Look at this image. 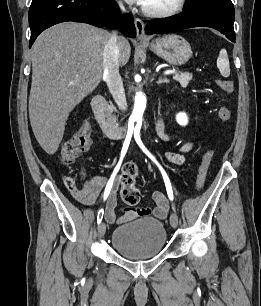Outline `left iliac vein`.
Wrapping results in <instances>:
<instances>
[{
    "mask_svg": "<svg viewBox=\"0 0 261 306\" xmlns=\"http://www.w3.org/2000/svg\"><path fill=\"white\" fill-rule=\"evenodd\" d=\"M170 224L173 228H176L178 225V215L176 212H173L170 216Z\"/></svg>",
    "mask_w": 261,
    "mask_h": 306,
    "instance_id": "1",
    "label": "left iliac vein"
}]
</instances>
